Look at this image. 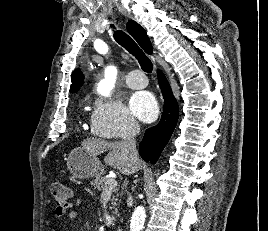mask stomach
<instances>
[{"mask_svg": "<svg viewBox=\"0 0 268 231\" xmlns=\"http://www.w3.org/2000/svg\"><path fill=\"white\" fill-rule=\"evenodd\" d=\"M67 167L78 179L101 176L103 171L98 157L83 146L71 150L67 157Z\"/></svg>", "mask_w": 268, "mask_h": 231, "instance_id": "stomach-1", "label": "stomach"}]
</instances>
